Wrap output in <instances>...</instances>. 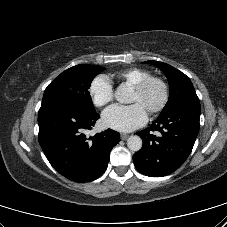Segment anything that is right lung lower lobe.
Instances as JSON below:
<instances>
[{"instance_id":"obj_1","label":"right lung lower lobe","mask_w":227,"mask_h":227,"mask_svg":"<svg viewBox=\"0 0 227 227\" xmlns=\"http://www.w3.org/2000/svg\"><path fill=\"white\" fill-rule=\"evenodd\" d=\"M65 103L41 107L38 113L40 146L53 168L75 182H89L107 168L112 148L120 141L118 132L107 129L93 137L85 132L99 119Z\"/></svg>"}]
</instances>
